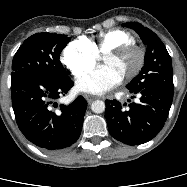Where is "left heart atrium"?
<instances>
[{"label":"left heart atrium","instance_id":"obj_1","mask_svg":"<svg viewBox=\"0 0 187 187\" xmlns=\"http://www.w3.org/2000/svg\"><path fill=\"white\" fill-rule=\"evenodd\" d=\"M122 76L110 66L91 70L76 82V89L88 94H103L118 85Z\"/></svg>","mask_w":187,"mask_h":187}]
</instances>
